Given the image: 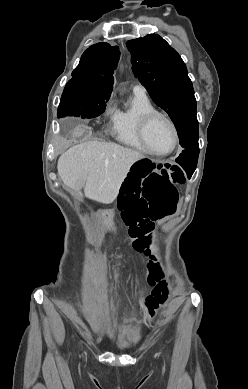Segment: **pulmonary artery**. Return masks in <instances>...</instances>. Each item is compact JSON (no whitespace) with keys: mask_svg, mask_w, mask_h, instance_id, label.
Wrapping results in <instances>:
<instances>
[{"mask_svg":"<svg viewBox=\"0 0 248 389\" xmlns=\"http://www.w3.org/2000/svg\"><path fill=\"white\" fill-rule=\"evenodd\" d=\"M133 92L138 95L146 96V89L140 84H136L133 86Z\"/></svg>","mask_w":248,"mask_h":389,"instance_id":"pulmonary-artery-1","label":"pulmonary artery"}]
</instances>
